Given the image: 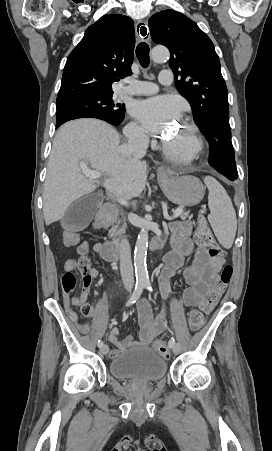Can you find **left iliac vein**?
Masks as SVG:
<instances>
[{
    "instance_id": "1",
    "label": "left iliac vein",
    "mask_w": 272,
    "mask_h": 451,
    "mask_svg": "<svg viewBox=\"0 0 272 451\" xmlns=\"http://www.w3.org/2000/svg\"><path fill=\"white\" fill-rule=\"evenodd\" d=\"M173 352L174 354H178L180 352V347L178 345H175Z\"/></svg>"
}]
</instances>
